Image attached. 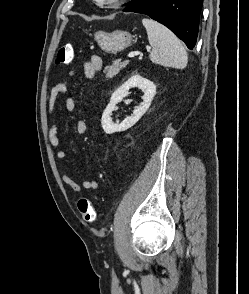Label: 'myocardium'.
<instances>
[{"label": "myocardium", "mask_w": 249, "mask_h": 294, "mask_svg": "<svg viewBox=\"0 0 249 294\" xmlns=\"http://www.w3.org/2000/svg\"><path fill=\"white\" fill-rule=\"evenodd\" d=\"M93 1L100 8L113 9V8H118V7L122 6L127 0H110L108 2H100L98 0H93Z\"/></svg>", "instance_id": "1"}]
</instances>
